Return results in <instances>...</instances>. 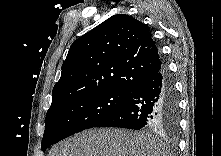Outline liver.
Wrapping results in <instances>:
<instances>
[{"instance_id":"liver-1","label":"liver","mask_w":221,"mask_h":156,"mask_svg":"<svg viewBox=\"0 0 221 156\" xmlns=\"http://www.w3.org/2000/svg\"><path fill=\"white\" fill-rule=\"evenodd\" d=\"M165 144L151 133L89 129L54 146L49 156H165Z\"/></svg>"}]
</instances>
